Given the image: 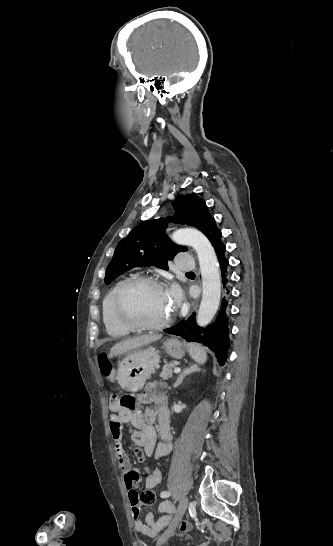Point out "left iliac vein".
<instances>
[{"label": "left iliac vein", "mask_w": 333, "mask_h": 546, "mask_svg": "<svg viewBox=\"0 0 333 546\" xmlns=\"http://www.w3.org/2000/svg\"><path fill=\"white\" fill-rule=\"evenodd\" d=\"M188 507V498L183 497L178 505L177 511L175 513V516L169 526V528L164 532V534L160 537L158 544L163 543L165 540H167L172 533L177 528L178 524L180 523L183 515L185 514Z\"/></svg>", "instance_id": "1"}]
</instances>
